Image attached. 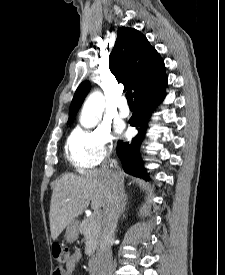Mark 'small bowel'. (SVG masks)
<instances>
[{"instance_id":"small-bowel-1","label":"small bowel","mask_w":225,"mask_h":275,"mask_svg":"<svg viewBox=\"0 0 225 275\" xmlns=\"http://www.w3.org/2000/svg\"><path fill=\"white\" fill-rule=\"evenodd\" d=\"M81 257H82L81 251L75 250L70 256V259L66 264L65 270H61V272L58 273L57 275H74Z\"/></svg>"}]
</instances>
